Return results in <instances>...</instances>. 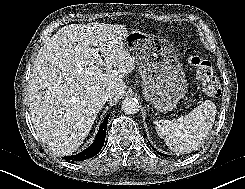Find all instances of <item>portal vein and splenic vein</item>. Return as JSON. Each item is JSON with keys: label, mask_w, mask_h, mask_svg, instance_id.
<instances>
[{"label": "portal vein and splenic vein", "mask_w": 245, "mask_h": 189, "mask_svg": "<svg viewBox=\"0 0 245 189\" xmlns=\"http://www.w3.org/2000/svg\"><path fill=\"white\" fill-rule=\"evenodd\" d=\"M90 53L94 57L95 61L97 62L99 66L104 64V61L101 59L100 55L97 53L95 49H90Z\"/></svg>", "instance_id": "portal-vein-and-splenic-vein-1"}]
</instances>
